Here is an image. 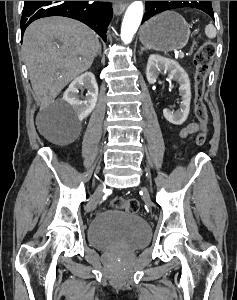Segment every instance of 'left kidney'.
Instances as JSON below:
<instances>
[{"label": "left kidney", "mask_w": 237, "mask_h": 300, "mask_svg": "<svg viewBox=\"0 0 237 300\" xmlns=\"http://www.w3.org/2000/svg\"><path fill=\"white\" fill-rule=\"evenodd\" d=\"M160 71H168L169 79L179 83V95L182 97L178 111L163 109V115L169 123H173V125H183L190 111V79L186 71L182 69L181 65H179L177 61H173V59H166V57H160V55H150L146 69V77L150 85H154V83H156Z\"/></svg>", "instance_id": "1"}]
</instances>
